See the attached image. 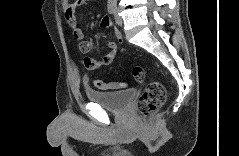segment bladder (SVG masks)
I'll list each match as a JSON object with an SVG mask.
<instances>
[{
  "instance_id": "1",
  "label": "bladder",
  "mask_w": 239,
  "mask_h": 156,
  "mask_svg": "<svg viewBox=\"0 0 239 156\" xmlns=\"http://www.w3.org/2000/svg\"><path fill=\"white\" fill-rule=\"evenodd\" d=\"M134 95L135 91L132 89L113 92H103L91 89L86 90V97L89 101L112 112L124 111L131 103Z\"/></svg>"
}]
</instances>
